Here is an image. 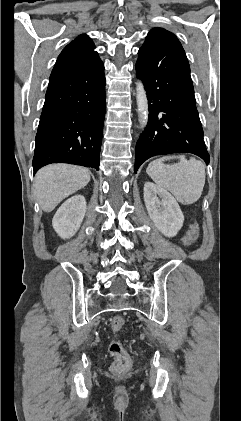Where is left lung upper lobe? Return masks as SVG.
Returning <instances> with one entry per match:
<instances>
[{"mask_svg": "<svg viewBox=\"0 0 241 421\" xmlns=\"http://www.w3.org/2000/svg\"><path fill=\"white\" fill-rule=\"evenodd\" d=\"M151 31H167V30H165L163 28H153ZM167 32H169V31H167Z\"/></svg>", "mask_w": 241, "mask_h": 421, "instance_id": "1", "label": "left lung upper lobe"}]
</instances>
